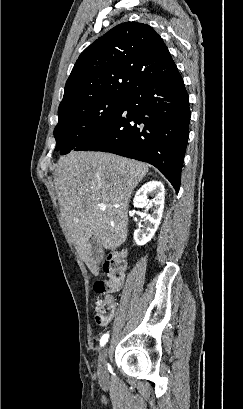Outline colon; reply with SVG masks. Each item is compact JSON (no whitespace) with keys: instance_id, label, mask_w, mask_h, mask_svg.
Instances as JSON below:
<instances>
[{"instance_id":"5ec220e1","label":"colon","mask_w":243,"mask_h":409,"mask_svg":"<svg viewBox=\"0 0 243 409\" xmlns=\"http://www.w3.org/2000/svg\"><path fill=\"white\" fill-rule=\"evenodd\" d=\"M105 271L109 275L106 281H98L94 284V291L99 296L95 304L94 320L96 324L104 326L108 324L114 315L113 302L108 299L109 295L117 291L123 282L126 270V259L122 251H117L112 254L104 266Z\"/></svg>"}]
</instances>
